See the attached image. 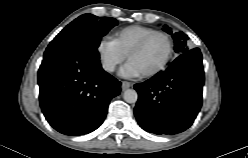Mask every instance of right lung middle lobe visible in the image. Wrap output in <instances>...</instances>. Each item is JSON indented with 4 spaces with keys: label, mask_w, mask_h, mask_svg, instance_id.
Wrapping results in <instances>:
<instances>
[{
    "label": "right lung middle lobe",
    "mask_w": 248,
    "mask_h": 158,
    "mask_svg": "<svg viewBox=\"0 0 248 158\" xmlns=\"http://www.w3.org/2000/svg\"><path fill=\"white\" fill-rule=\"evenodd\" d=\"M117 24V20L111 17L98 19L92 14H84L68 24L50 44L63 43L97 49L101 38Z\"/></svg>",
    "instance_id": "right-lung-middle-lobe-1"
}]
</instances>
